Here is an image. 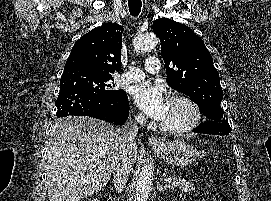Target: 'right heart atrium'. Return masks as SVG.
I'll return each mask as SVG.
<instances>
[{
  "label": "right heart atrium",
  "mask_w": 271,
  "mask_h": 201,
  "mask_svg": "<svg viewBox=\"0 0 271 201\" xmlns=\"http://www.w3.org/2000/svg\"><path fill=\"white\" fill-rule=\"evenodd\" d=\"M135 119H136L137 121H141V120H143V117H142L141 114H137V115H135Z\"/></svg>",
  "instance_id": "obj_1"
}]
</instances>
